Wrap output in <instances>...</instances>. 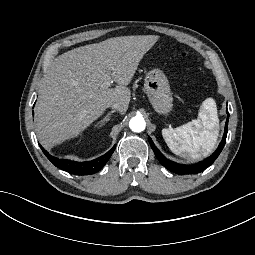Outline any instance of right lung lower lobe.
<instances>
[{
	"label": "right lung lower lobe",
	"instance_id": "98d812e1",
	"mask_svg": "<svg viewBox=\"0 0 255 255\" xmlns=\"http://www.w3.org/2000/svg\"><path fill=\"white\" fill-rule=\"evenodd\" d=\"M46 157L58 168L69 172L74 175H90L98 172L109 160L115 150V146L112 147L106 154L101 157L87 162H76L67 159H59L50 155L40 146Z\"/></svg>",
	"mask_w": 255,
	"mask_h": 255
}]
</instances>
